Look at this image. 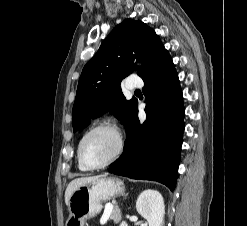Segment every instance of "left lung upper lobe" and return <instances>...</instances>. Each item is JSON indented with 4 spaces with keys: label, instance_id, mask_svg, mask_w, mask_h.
I'll return each instance as SVG.
<instances>
[{
    "label": "left lung upper lobe",
    "instance_id": "obj_1",
    "mask_svg": "<svg viewBox=\"0 0 247 226\" xmlns=\"http://www.w3.org/2000/svg\"><path fill=\"white\" fill-rule=\"evenodd\" d=\"M163 47L155 31L140 20L117 25L82 70L73 105L74 132L111 110L127 127L138 102L125 99L120 83L133 70L144 76L146 71L132 62L136 59L148 70Z\"/></svg>",
    "mask_w": 247,
    "mask_h": 226
}]
</instances>
